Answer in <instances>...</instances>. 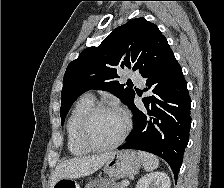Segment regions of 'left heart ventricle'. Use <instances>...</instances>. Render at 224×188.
Segmentation results:
<instances>
[{
	"mask_svg": "<svg viewBox=\"0 0 224 188\" xmlns=\"http://www.w3.org/2000/svg\"><path fill=\"white\" fill-rule=\"evenodd\" d=\"M124 117L117 111H102L93 119L90 135L98 143L107 144L115 141L123 131Z\"/></svg>",
	"mask_w": 224,
	"mask_h": 188,
	"instance_id": "left-heart-ventricle-1",
	"label": "left heart ventricle"
}]
</instances>
